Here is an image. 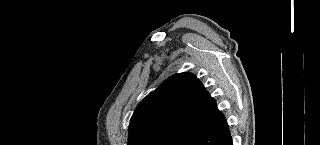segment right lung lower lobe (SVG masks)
Here are the masks:
<instances>
[{
	"mask_svg": "<svg viewBox=\"0 0 320 145\" xmlns=\"http://www.w3.org/2000/svg\"><path fill=\"white\" fill-rule=\"evenodd\" d=\"M167 145H232V138L226 119L219 112L205 123L180 131Z\"/></svg>",
	"mask_w": 320,
	"mask_h": 145,
	"instance_id": "right-lung-lower-lobe-1",
	"label": "right lung lower lobe"
}]
</instances>
